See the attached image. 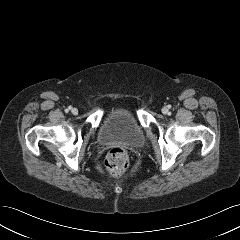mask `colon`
<instances>
[{
	"label": "colon",
	"mask_w": 240,
	"mask_h": 240,
	"mask_svg": "<svg viewBox=\"0 0 240 240\" xmlns=\"http://www.w3.org/2000/svg\"><path fill=\"white\" fill-rule=\"evenodd\" d=\"M104 165L111 176H121L129 165L127 152L122 148H112L106 155Z\"/></svg>",
	"instance_id": "1"
}]
</instances>
